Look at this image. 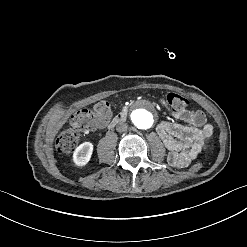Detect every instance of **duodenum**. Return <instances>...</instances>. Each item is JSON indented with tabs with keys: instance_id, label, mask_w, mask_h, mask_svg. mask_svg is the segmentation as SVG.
<instances>
[{
	"instance_id": "1",
	"label": "duodenum",
	"mask_w": 247,
	"mask_h": 247,
	"mask_svg": "<svg viewBox=\"0 0 247 247\" xmlns=\"http://www.w3.org/2000/svg\"><path fill=\"white\" fill-rule=\"evenodd\" d=\"M128 114V108H123L121 109L116 115L115 117L112 119V121L110 122L109 126L112 127L120 122H122L126 116Z\"/></svg>"
}]
</instances>
